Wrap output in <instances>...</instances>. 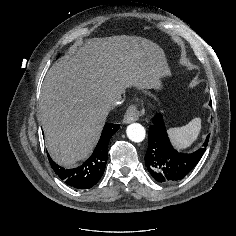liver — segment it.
<instances>
[{
	"label": "liver",
	"mask_w": 236,
	"mask_h": 236,
	"mask_svg": "<svg viewBox=\"0 0 236 236\" xmlns=\"http://www.w3.org/2000/svg\"><path fill=\"white\" fill-rule=\"evenodd\" d=\"M169 74L164 51L137 36L88 39L44 79L40 119L51 158L64 167L87 158L112 102L128 87L155 89Z\"/></svg>",
	"instance_id": "1"
}]
</instances>
